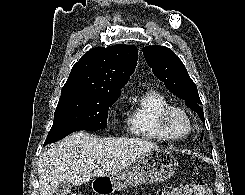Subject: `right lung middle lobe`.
<instances>
[{"instance_id":"dd1d6c3e","label":"right lung middle lobe","mask_w":245,"mask_h":195,"mask_svg":"<svg viewBox=\"0 0 245 195\" xmlns=\"http://www.w3.org/2000/svg\"><path fill=\"white\" fill-rule=\"evenodd\" d=\"M118 97L94 92L61 94L45 145L75 131L105 129L109 107Z\"/></svg>"}]
</instances>
